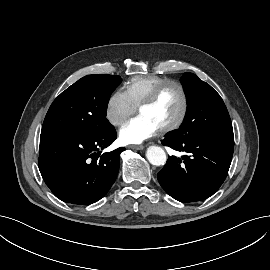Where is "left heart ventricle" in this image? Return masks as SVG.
I'll use <instances>...</instances> for the list:
<instances>
[{"label": "left heart ventricle", "mask_w": 270, "mask_h": 270, "mask_svg": "<svg viewBox=\"0 0 270 270\" xmlns=\"http://www.w3.org/2000/svg\"><path fill=\"white\" fill-rule=\"evenodd\" d=\"M182 98L176 86L166 87L158 99L151 106L140 110V114L147 116L159 129L172 124L180 115Z\"/></svg>", "instance_id": "obj_1"}]
</instances>
